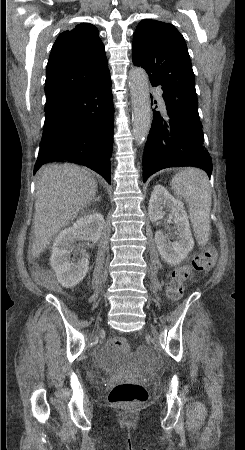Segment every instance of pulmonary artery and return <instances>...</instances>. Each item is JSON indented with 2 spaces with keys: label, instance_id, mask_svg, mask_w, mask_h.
Listing matches in <instances>:
<instances>
[{
  "label": "pulmonary artery",
  "instance_id": "pulmonary-artery-1",
  "mask_svg": "<svg viewBox=\"0 0 245 450\" xmlns=\"http://www.w3.org/2000/svg\"><path fill=\"white\" fill-rule=\"evenodd\" d=\"M157 97L159 98L161 105L164 106V105H165V102H164V100L162 99V96H161V93H160V92L157 93Z\"/></svg>",
  "mask_w": 245,
  "mask_h": 450
}]
</instances>
